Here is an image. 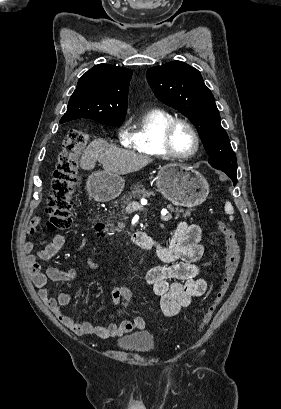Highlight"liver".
<instances>
[{"label":"liver","instance_id":"1","mask_svg":"<svg viewBox=\"0 0 281 409\" xmlns=\"http://www.w3.org/2000/svg\"><path fill=\"white\" fill-rule=\"evenodd\" d=\"M97 160L103 164L104 172L128 174V172L140 170L152 162L153 158H150L148 154H138L132 150L118 148L103 138H94L84 150L80 158V166L84 170H92Z\"/></svg>","mask_w":281,"mask_h":409}]
</instances>
